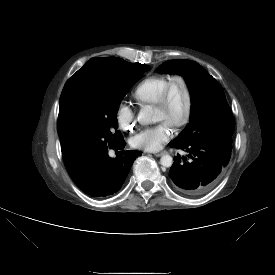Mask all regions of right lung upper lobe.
Instances as JSON below:
<instances>
[{"label":"right lung upper lobe","mask_w":275,"mask_h":275,"mask_svg":"<svg viewBox=\"0 0 275 275\" xmlns=\"http://www.w3.org/2000/svg\"><path fill=\"white\" fill-rule=\"evenodd\" d=\"M125 60L118 58V57H95L90 59L80 70H78L73 76L72 79H76L79 76H82L88 69L93 67H118L123 64H127ZM64 162L69 171L75 169L78 165V161L68 158L62 151Z\"/></svg>","instance_id":"1"}]
</instances>
